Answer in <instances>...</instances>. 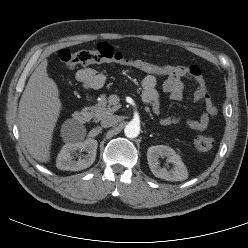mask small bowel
<instances>
[{
    "label": "small bowel",
    "instance_id": "small-bowel-1",
    "mask_svg": "<svg viewBox=\"0 0 248 248\" xmlns=\"http://www.w3.org/2000/svg\"><path fill=\"white\" fill-rule=\"evenodd\" d=\"M161 76L165 77L163 91L171 100L179 101L183 97L184 78H189L195 83L193 93L194 101L202 102L204 110L197 119L187 118L182 120L177 116H167L160 119L162 126H170L184 122L186 126L195 131H203L207 128L210 119L217 114V108L213 104L211 97L206 89L205 80L201 70L196 65H162ZM156 74H146L142 80V97L148 103L154 113L159 114L161 108L160 95L156 89ZM76 79L87 89H99L105 84V76L92 68H83L77 71Z\"/></svg>",
    "mask_w": 248,
    "mask_h": 248
}]
</instances>
